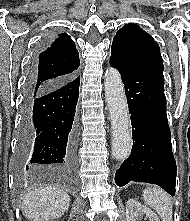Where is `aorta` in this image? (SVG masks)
Here are the masks:
<instances>
[{
  "instance_id": "762f6f07",
  "label": "aorta",
  "mask_w": 190,
  "mask_h": 221,
  "mask_svg": "<svg viewBox=\"0 0 190 221\" xmlns=\"http://www.w3.org/2000/svg\"><path fill=\"white\" fill-rule=\"evenodd\" d=\"M104 86L112 126V155L116 160H125L131 151L132 138L124 86L118 70H106Z\"/></svg>"
}]
</instances>
